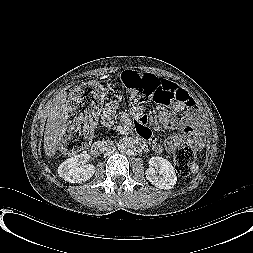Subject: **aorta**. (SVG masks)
Listing matches in <instances>:
<instances>
[{
  "label": "aorta",
  "mask_w": 253,
  "mask_h": 253,
  "mask_svg": "<svg viewBox=\"0 0 253 253\" xmlns=\"http://www.w3.org/2000/svg\"><path fill=\"white\" fill-rule=\"evenodd\" d=\"M118 149H119L121 152H124V151L127 149V145H126L124 142H121V143L118 145Z\"/></svg>",
  "instance_id": "obj_1"
}]
</instances>
